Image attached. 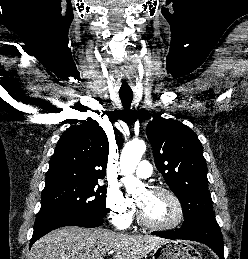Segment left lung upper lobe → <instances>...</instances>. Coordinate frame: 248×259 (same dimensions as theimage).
Segmentation results:
<instances>
[{
  "label": "left lung upper lobe",
  "mask_w": 248,
  "mask_h": 259,
  "mask_svg": "<svg viewBox=\"0 0 248 259\" xmlns=\"http://www.w3.org/2000/svg\"><path fill=\"white\" fill-rule=\"evenodd\" d=\"M157 169L182 204V227L216 220L201 142L186 125L160 115L147 125Z\"/></svg>",
  "instance_id": "1"
}]
</instances>
